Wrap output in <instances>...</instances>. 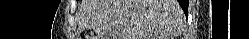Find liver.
<instances>
[{
    "instance_id": "obj_1",
    "label": "liver",
    "mask_w": 249,
    "mask_h": 39,
    "mask_svg": "<svg viewBox=\"0 0 249 39\" xmlns=\"http://www.w3.org/2000/svg\"><path fill=\"white\" fill-rule=\"evenodd\" d=\"M79 13L85 39H168L184 18L177 0H83Z\"/></svg>"
}]
</instances>
